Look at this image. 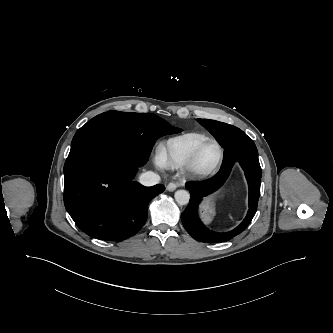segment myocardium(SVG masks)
Returning <instances> with one entry per match:
<instances>
[{
    "label": "myocardium",
    "instance_id": "myocardium-1",
    "mask_svg": "<svg viewBox=\"0 0 333 333\" xmlns=\"http://www.w3.org/2000/svg\"><path fill=\"white\" fill-rule=\"evenodd\" d=\"M210 144H214L217 147L219 152L218 158L210 167L201 168L199 166L200 155L203 149ZM223 159H224V149L222 145L216 139L208 138L196 148L190 160L186 164V169L192 176L196 178H205L213 174L219 168Z\"/></svg>",
    "mask_w": 333,
    "mask_h": 333
}]
</instances>
